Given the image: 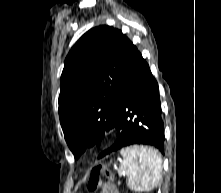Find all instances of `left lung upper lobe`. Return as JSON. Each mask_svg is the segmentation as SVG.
<instances>
[{
  "label": "left lung upper lobe",
  "instance_id": "obj_1",
  "mask_svg": "<svg viewBox=\"0 0 221 193\" xmlns=\"http://www.w3.org/2000/svg\"><path fill=\"white\" fill-rule=\"evenodd\" d=\"M137 52L120 30L99 26L86 32L67 55L59 116L76 159L115 127L120 86Z\"/></svg>",
  "mask_w": 221,
  "mask_h": 193
}]
</instances>
